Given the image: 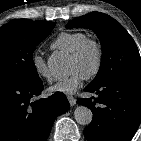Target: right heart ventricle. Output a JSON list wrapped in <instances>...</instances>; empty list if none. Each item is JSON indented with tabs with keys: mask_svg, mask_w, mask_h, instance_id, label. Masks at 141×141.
<instances>
[{
	"mask_svg": "<svg viewBox=\"0 0 141 141\" xmlns=\"http://www.w3.org/2000/svg\"><path fill=\"white\" fill-rule=\"evenodd\" d=\"M87 38L82 32H63L52 42L51 48L71 54Z\"/></svg>",
	"mask_w": 141,
	"mask_h": 141,
	"instance_id": "obj_1",
	"label": "right heart ventricle"
}]
</instances>
